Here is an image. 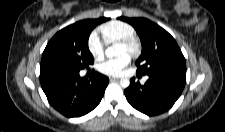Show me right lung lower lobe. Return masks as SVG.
Masks as SVG:
<instances>
[{
	"label": "right lung lower lobe",
	"instance_id": "98d812e1",
	"mask_svg": "<svg viewBox=\"0 0 225 132\" xmlns=\"http://www.w3.org/2000/svg\"><path fill=\"white\" fill-rule=\"evenodd\" d=\"M42 89L49 103L67 117H79L100 103L109 83L108 77L95 72L92 79L81 78L79 72H40Z\"/></svg>",
	"mask_w": 225,
	"mask_h": 132
}]
</instances>
